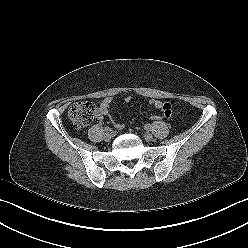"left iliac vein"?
I'll return each instance as SVG.
<instances>
[{"label":"left iliac vein","mask_w":248,"mask_h":248,"mask_svg":"<svg viewBox=\"0 0 248 248\" xmlns=\"http://www.w3.org/2000/svg\"><path fill=\"white\" fill-rule=\"evenodd\" d=\"M144 139H145L146 141H152V140H153V135H152L151 133H149V132H146V133L144 134Z\"/></svg>","instance_id":"obj_1"}]
</instances>
